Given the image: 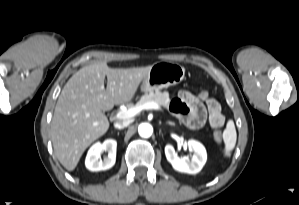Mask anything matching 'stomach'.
Listing matches in <instances>:
<instances>
[{
	"instance_id": "obj_1",
	"label": "stomach",
	"mask_w": 299,
	"mask_h": 205,
	"mask_svg": "<svg viewBox=\"0 0 299 205\" xmlns=\"http://www.w3.org/2000/svg\"><path fill=\"white\" fill-rule=\"evenodd\" d=\"M185 76V68L176 63H154L142 81L141 91L148 93L179 84Z\"/></svg>"
}]
</instances>
